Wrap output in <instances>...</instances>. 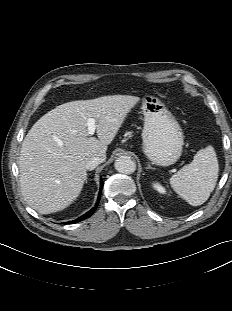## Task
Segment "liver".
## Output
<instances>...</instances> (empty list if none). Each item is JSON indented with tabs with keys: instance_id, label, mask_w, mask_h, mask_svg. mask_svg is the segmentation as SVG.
<instances>
[{
	"instance_id": "1",
	"label": "liver",
	"mask_w": 232,
	"mask_h": 311,
	"mask_svg": "<svg viewBox=\"0 0 232 311\" xmlns=\"http://www.w3.org/2000/svg\"><path fill=\"white\" fill-rule=\"evenodd\" d=\"M129 95L71 101L43 115L23 140L19 172L24 199L41 214L68 207L81 193L85 163L91 157L106 160L107 145L138 102ZM97 122V136L88 134L87 119Z\"/></svg>"
}]
</instances>
